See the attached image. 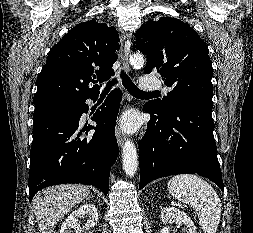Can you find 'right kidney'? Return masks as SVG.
Masks as SVG:
<instances>
[{"label":"right kidney","instance_id":"1","mask_svg":"<svg viewBox=\"0 0 253 233\" xmlns=\"http://www.w3.org/2000/svg\"><path fill=\"white\" fill-rule=\"evenodd\" d=\"M88 217V220L84 226L83 233H91V228L95 227L98 222V213L96 206L92 203L84 204L80 206L77 210L73 211L70 216L63 222L60 233H71V230H76V233L78 232L79 226H78V218L81 217Z\"/></svg>","mask_w":253,"mask_h":233}]
</instances>
